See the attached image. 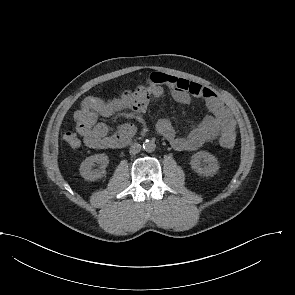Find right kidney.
Returning a JSON list of instances; mask_svg holds the SVG:
<instances>
[{
    "mask_svg": "<svg viewBox=\"0 0 295 295\" xmlns=\"http://www.w3.org/2000/svg\"><path fill=\"white\" fill-rule=\"evenodd\" d=\"M95 163L99 164V169H93ZM109 158L106 154H95L87 157L80 165V174L85 180L95 181L106 174V167Z\"/></svg>",
    "mask_w": 295,
    "mask_h": 295,
    "instance_id": "obj_1",
    "label": "right kidney"
}]
</instances>
